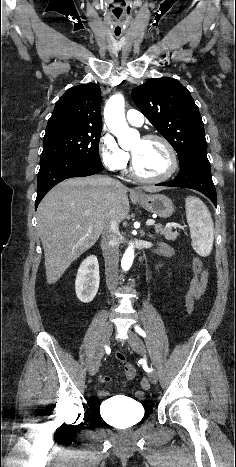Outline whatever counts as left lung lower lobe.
Listing matches in <instances>:
<instances>
[{"label": "left lung lower lobe", "instance_id": "left-lung-lower-lobe-1", "mask_svg": "<svg viewBox=\"0 0 236 467\" xmlns=\"http://www.w3.org/2000/svg\"><path fill=\"white\" fill-rule=\"evenodd\" d=\"M157 186L184 187L206 195L217 206L216 189L212 181L210 163L206 153L196 154L185 164L175 179Z\"/></svg>", "mask_w": 236, "mask_h": 467}]
</instances>
